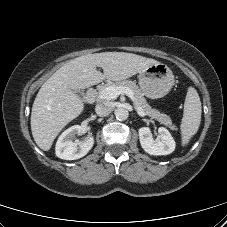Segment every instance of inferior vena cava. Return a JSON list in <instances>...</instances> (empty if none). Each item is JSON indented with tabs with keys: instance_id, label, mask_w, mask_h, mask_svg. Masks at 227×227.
<instances>
[{
	"instance_id": "602c4592",
	"label": "inferior vena cava",
	"mask_w": 227,
	"mask_h": 227,
	"mask_svg": "<svg viewBox=\"0 0 227 227\" xmlns=\"http://www.w3.org/2000/svg\"><path fill=\"white\" fill-rule=\"evenodd\" d=\"M112 108H113L112 103L105 101L97 104L95 107V111L98 116L105 117L111 113Z\"/></svg>"
}]
</instances>
